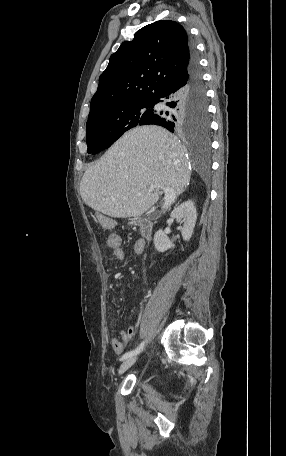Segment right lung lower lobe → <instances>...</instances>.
<instances>
[{
	"mask_svg": "<svg viewBox=\"0 0 286 456\" xmlns=\"http://www.w3.org/2000/svg\"><path fill=\"white\" fill-rule=\"evenodd\" d=\"M161 103L169 107L167 111H157L147 124H156L169 131H198L206 135L208 132L196 130L194 127L208 123L206 91L201 69L192 48V58L183 80L165 90L154 99V104Z\"/></svg>",
	"mask_w": 286,
	"mask_h": 456,
	"instance_id": "right-lung-lower-lobe-1",
	"label": "right lung lower lobe"
}]
</instances>
